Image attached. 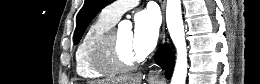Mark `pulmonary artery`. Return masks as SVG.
Masks as SVG:
<instances>
[{"label":"pulmonary artery","mask_w":260,"mask_h":84,"mask_svg":"<svg viewBox=\"0 0 260 84\" xmlns=\"http://www.w3.org/2000/svg\"><path fill=\"white\" fill-rule=\"evenodd\" d=\"M137 3L138 1L135 0L115 1L108 5L103 12L110 20L117 22L124 12L133 8Z\"/></svg>","instance_id":"1"}]
</instances>
